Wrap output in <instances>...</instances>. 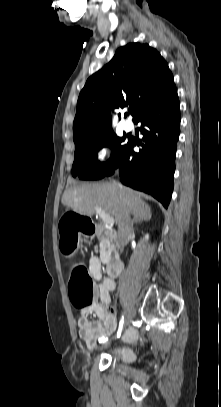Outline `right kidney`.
Listing matches in <instances>:
<instances>
[{"instance_id":"1","label":"right kidney","mask_w":221,"mask_h":407,"mask_svg":"<svg viewBox=\"0 0 221 407\" xmlns=\"http://www.w3.org/2000/svg\"><path fill=\"white\" fill-rule=\"evenodd\" d=\"M149 238V235L147 234L146 236H145V239L147 240Z\"/></svg>"}]
</instances>
